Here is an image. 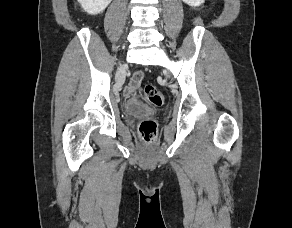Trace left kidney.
<instances>
[{
    "label": "left kidney",
    "instance_id": "obj_1",
    "mask_svg": "<svg viewBox=\"0 0 292 228\" xmlns=\"http://www.w3.org/2000/svg\"><path fill=\"white\" fill-rule=\"evenodd\" d=\"M182 1L192 7H197L204 3L205 0H182Z\"/></svg>",
    "mask_w": 292,
    "mask_h": 228
}]
</instances>
